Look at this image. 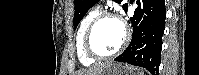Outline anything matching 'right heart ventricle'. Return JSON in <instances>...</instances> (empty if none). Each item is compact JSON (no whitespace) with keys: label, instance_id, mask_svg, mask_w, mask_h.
Segmentation results:
<instances>
[{"label":"right heart ventricle","instance_id":"e07e8e85","mask_svg":"<svg viewBox=\"0 0 199 75\" xmlns=\"http://www.w3.org/2000/svg\"><path fill=\"white\" fill-rule=\"evenodd\" d=\"M99 14V9L98 8H93L89 10L84 17L82 18L77 35H76V50H77V56L81 64L85 66H90L95 63L96 60L90 58L85 50H84V45H83V38H84V33L89 26L90 22L93 20V18Z\"/></svg>","mask_w":199,"mask_h":75}]
</instances>
